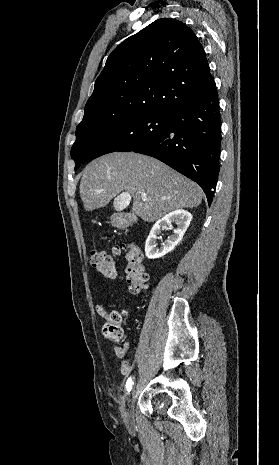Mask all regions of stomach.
Wrapping results in <instances>:
<instances>
[{"label":"stomach","mask_w":279,"mask_h":465,"mask_svg":"<svg viewBox=\"0 0 279 465\" xmlns=\"http://www.w3.org/2000/svg\"><path fill=\"white\" fill-rule=\"evenodd\" d=\"M112 223L117 227H124L127 224V221L120 215L112 216Z\"/></svg>","instance_id":"1"}]
</instances>
